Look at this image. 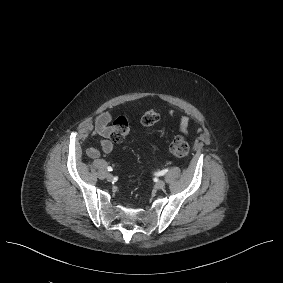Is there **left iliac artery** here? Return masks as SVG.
I'll return each mask as SVG.
<instances>
[{
  "label": "left iliac artery",
  "mask_w": 283,
  "mask_h": 283,
  "mask_svg": "<svg viewBox=\"0 0 283 283\" xmlns=\"http://www.w3.org/2000/svg\"><path fill=\"white\" fill-rule=\"evenodd\" d=\"M168 171H169V169L166 168V169H164V170H162V171L157 172V175H158V176H163V175H165Z\"/></svg>",
  "instance_id": "1"
}]
</instances>
